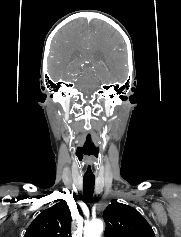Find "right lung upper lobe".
<instances>
[{
    "label": "right lung upper lobe",
    "instance_id": "cb5924a9",
    "mask_svg": "<svg viewBox=\"0 0 181 237\" xmlns=\"http://www.w3.org/2000/svg\"><path fill=\"white\" fill-rule=\"evenodd\" d=\"M71 212L64 200L42 211L24 237H71Z\"/></svg>",
    "mask_w": 181,
    "mask_h": 237
}]
</instances>
